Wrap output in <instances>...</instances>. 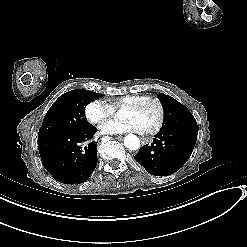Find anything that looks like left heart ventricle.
<instances>
[{
  "instance_id": "b2bd125f",
  "label": "left heart ventricle",
  "mask_w": 247,
  "mask_h": 247,
  "mask_svg": "<svg viewBox=\"0 0 247 247\" xmlns=\"http://www.w3.org/2000/svg\"><path fill=\"white\" fill-rule=\"evenodd\" d=\"M123 118L138 120L143 132H148L155 128L159 118V107L155 102H146L140 109H123Z\"/></svg>"
}]
</instances>
